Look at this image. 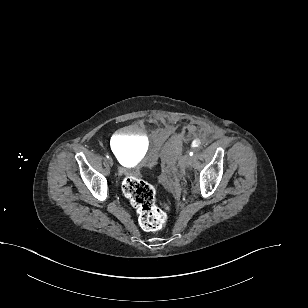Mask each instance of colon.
<instances>
[{
    "mask_svg": "<svg viewBox=\"0 0 308 308\" xmlns=\"http://www.w3.org/2000/svg\"><path fill=\"white\" fill-rule=\"evenodd\" d=\"M124 195L137 210L139 224L146 231H157L165 227L169 216V207L160 208L156 204L154 187L135 176H127L122 184Z\"/></svg>",
    "mask_w": 308,
    "mask_h": 308,
    "instance_id": "1",
    "label": "colon"
}]
</instances>
